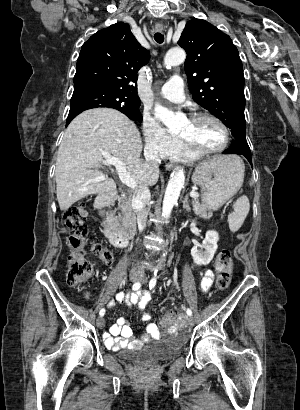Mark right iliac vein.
I'll return each mask as SVG.
<instances>
[{
	"label": "right iliac vein",
	"mask_w": 300,
	"mask_h": 410,
	"mask_svg": "<svg viewBox=\"0 0 300 410\" xmlns=\"http://www.w3.org/2000/svg\"><path fill=\"white\" fill-rule=\"evenodd\" d=\"M129 278L132 282H135L139 279V275L136 272H132V273H130ZM96 324L99 328L102 329L105 326V321L102 317H99L96 321Z\"/></svg>",
	"instance_id": "obj_1"
}]
</instances>
